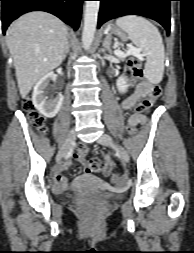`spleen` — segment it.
Returning a JSON list of instances; mask_svg holds the SVG:
<instances>
[{"instance_id":"3e777b00","label":"spleen","mask_w":194,"mask_h":253,"mask_svg":"<svg viewBox=\"0 0 194 253\" xmlns=\"http://www.w3.org/2000/svg\"><path fill=\"white\" fill-rule=\"evenodd\" d=\"M116 24L128 33L129 39L146 57L145 77L153 84L160 83L164 73L165 50L158 29L147 19L136 15L120 17Z\"/></svg>"}]
</instances>
